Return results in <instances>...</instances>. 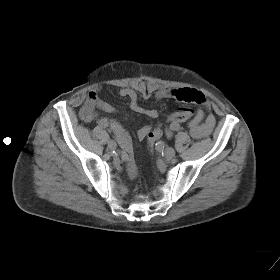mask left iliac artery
I'll list each match as a JSON object with an SVG mask.
<instances>
[{"instance_id": "obj_1", "label": "left iliac artery", "mask_w": 280, "mask_h": 280, "mask_svg": "<svg viewBox=\"0 0 280 280\" xmlns=\"http://www.w3.org/2000/svg\"><path fill=\"white\" fill-rule=\"evenodd\" d=\"M180 124L179 123H177V122H175V123H172L171 125H170V133H172V132H175V131H179L180 130Z\"/></svg>"}]
</instances>
